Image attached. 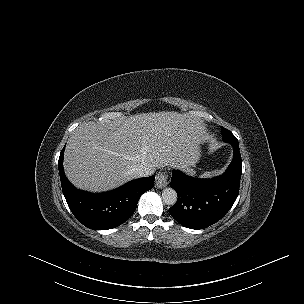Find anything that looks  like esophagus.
<instances>
[{
	"label": "esophagus",
	"mask_w": 304,
	"mask_h": 304,
	"mask_svg": "<svg viewBox=\"0 0 304 304\" xmlns=\"http://www.w3.org/2000/svg\"><path fill=\"white\" fill-rule=\"evenodd\" d=\"M168 184V174L166 172H159L155 178V186L157 188H164Z\"/></svg>",
	"instance_id": "1"
}]
</instances>
